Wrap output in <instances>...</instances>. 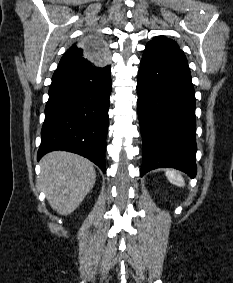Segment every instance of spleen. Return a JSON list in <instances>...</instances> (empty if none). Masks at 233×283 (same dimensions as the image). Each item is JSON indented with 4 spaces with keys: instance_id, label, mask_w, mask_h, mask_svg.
Returning <instances> with one entry per match:
<instances>
[{
    "instance_id": "spleen-1",
    "label": "spleen",
    "mask_w": 233,
    "mask_h": 283,
    "mask_svg": "<svg viewBox=\"0 0 233 283\" xmlns=\"http://www.w3.org/2000/svg\"><path fill=\"white\" fill-rule=\"evenodd\" d=\"M166 177L172 184L176 186L183 187L185 185L183 177L174 170H167Z\"/></svg>"
}]
</instances>
